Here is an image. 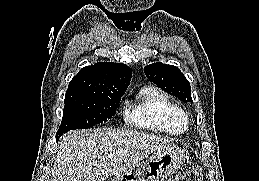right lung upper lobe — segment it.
<instances>
[{"mask_svg": "<svg viewBox=\"0 0 259 181\" xmlns=\"http://www.w3.org/2000/svg\"><path fill=\"white\" fill-rule=\"evenodd\" d=\"M131 80V70L125 64L104 62L86 66L70 81L67 92L120 95Z\"/></svg>", "mask_w": 259, "mask_h": 181, "instance_id": "cb5924a9", "label": "right lung upper lobe"}]
</instances>
